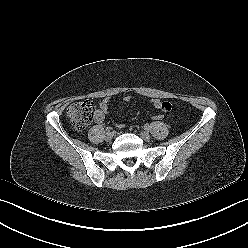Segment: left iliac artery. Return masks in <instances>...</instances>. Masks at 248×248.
Instances as JSON below:
<instances>
[{
  "label": "left iliac artery",
  "instance_id": "44dca946",
  "mask_svg": "<svg viewBox=\"0 0 248 248\" xmlns=\"http://www.w3.org/2000/svg\"><path fill=\"white\" fill-rule=\"evenodd\" d=\"M149 128H150L149 124H145V125H144V129H145V130H149Z\"/></svg>",
  "mask_w": 248,
  "mask_h": 248
}]
</instances>
